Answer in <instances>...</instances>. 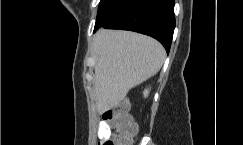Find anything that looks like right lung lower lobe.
<instances>
[{
	"label": "right lung lower lobe",
	"instance_id": "1",
	"mask_svg": "<svg viewBox=\"0 0 243 145\" xmlns=\"http://www.w3.org/2000/svg\"><path fill=\"white\" fill-rule=\"evenodd\" d=\"M100 27L152 36L168 53L175 28L174 0H101L94 31Z\"/></svg>",
	"mask_w": 243,
	"mask_h": 145
}]
</instances>
